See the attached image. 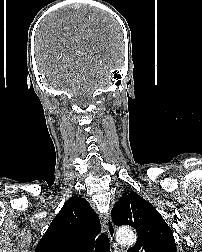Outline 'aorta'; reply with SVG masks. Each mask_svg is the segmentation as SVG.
<instances>
[{"label": "aorta", "instance_id": "obj_1", "mask_svg": "<svg viewBox=\"0 0 202 252\" xmlns=\"http://www.w3.org/2000/svg\"><path fill=\"white\" fill-rule=\"evenodd\" d=\"M135 234L131 229H120L117 232V240L121 245H131L135 241Z\"/></svg>", "mask_w": 202, "mask_h": 252}]
</instances>
